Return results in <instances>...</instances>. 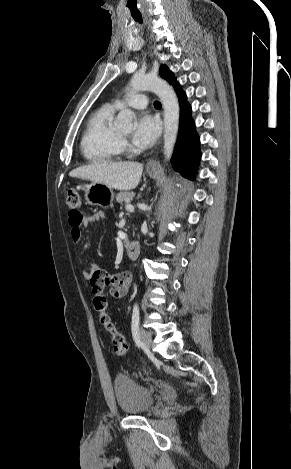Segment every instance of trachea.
<instances>
[{
  "label": "trachea",
  "mask_w": 291,
  "mask_h": 469,
  "mask_svg": "<svg viewBox=\"0 0 291 469\" xmlns=\"http://www.w3.org/2000/svg\"><path fill=\"white\" fill-rule=\"evenodd\" d=\"M154 106H155V107H161V103H160L159 101H155V102H154Z\"/></svg>",
  "instance_id": "1"
}]
</instances>
